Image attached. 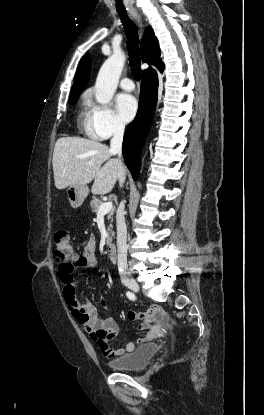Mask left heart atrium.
Returning <instances> with one entry per match:
<instances>
[{
  "instance_id": "1",
  "label": "left heart atrium",
  "mask_w": 264,
  "mask_h": 415,
  "mask_svg": "<svg viewBox=\"0 0 264 415\" xmlns=\"http://www.w3.org/2000/svg\"><path fill=\"white\" fill-rule=\"evenodd\" d=\"M116 110L119 117L124 121H131L137 112V101L130 94H119L115 101Z\"/></svg>"
}]
</instances>
